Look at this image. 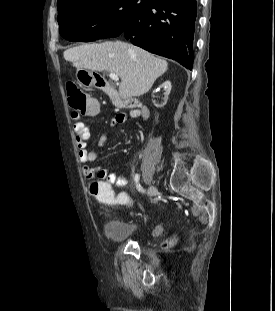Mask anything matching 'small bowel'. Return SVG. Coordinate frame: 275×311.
<instances>
[{"label": "small bowel", "mask_w": 275, "mask_h": 311, "mask_svg": "<svg viewBox=\"0 0 275 311\" xmlns=\"http://www.w3.org/2000/svg\"><path fill=\"white\" fill-rule=\"evenodd\" d=\"M96 114V113H95ZM141 115L139 110H132L130 112L119 113L113 119L111 125L115 126L119 123L127 121L129 118H137ZM73 118V130L76 135V144L78 147V158L82 164V173L86 180L94 181L97 179L99 183L104 179L105 183H115V186H125L127 180L124 176H120L115 172H110L107 168L102 166H91L90 163L97 159V150L105 146L107 141V135H101L96 143V149H90L87 145L90 133L85 123L80 119L78 113L72 114ZM91 193H92V189Z\"/></svg>", "instance_id": "1"}]
</instances>
